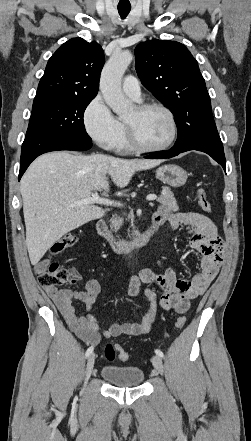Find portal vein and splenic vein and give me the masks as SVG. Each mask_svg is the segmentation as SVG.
<instances>
[{
	"instance_id": "18ae733b",
	"label": "portal vein and splenic vein",
	"mask_w": 251,
	"mask_h": 441,
	"mask_svg": "<svg viewBox=\"0 0 251 441\" xmlns=\"http://www.w3.org/2000/svg\"><path fill=\"white\" fill-rule=\"evenodd\" d=\"M146 199L148 201H154L157 199V196L155 194H150L147 196ZM75 204L76 205L103 204V205H107V206H118V207L121 206L120 202H114V201H110L108 199L99 197L97 192L93 193L91 197H87V198H84L82 200L77 201Z\"/></svg>"
}]
</instances>
